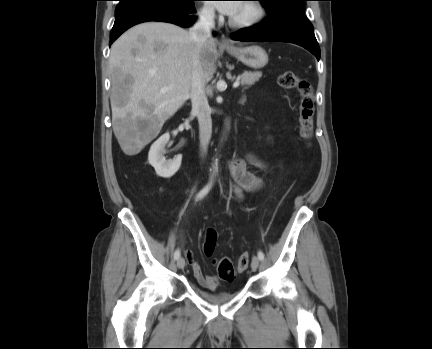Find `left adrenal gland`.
Wrapping results in <instances>:
<instances>
[{"label": "left adrenal gland", "mask_w": 432, "mask_h": 349, "mask_svg": "<svg viewBox=\"0 0 432 349\" xmlns=\"http://www.w3.org/2000/svg\"><path fill=\"white\" fill-rule=\"evenodd\" d=\"M245 100H246V97L243 96L242 99H241V101H240V103H241V104H244Z\"/></svg>", "instance_id": "left-adrenal-gland-1"}]
</instances>
